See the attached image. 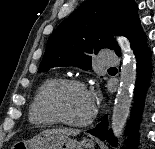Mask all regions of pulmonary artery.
Here are the masks:
<instances>
[{
    "mask_svg": "<svg viewBox=\"0 0 155 149\" xmlns=\"http://www.w3.org/2000/svg\"><path fill=\"white\" fill-rule=\"evenodd\" d=\"M100 62L104 66H114L119 63V59L114 52L107 50L101 53Z\"/></svg>",
    "mask_w": 155,
    "mask_h": 149,
    "instance_id": "obj_1",
    "label": "pulmonary artery"
}]
</instances>
